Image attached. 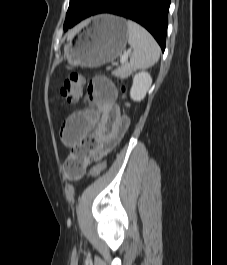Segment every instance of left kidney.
<instances>
[{
	"mask_svg": "<svg viewBox=\"0 0 227 265\" xmlns=\"http://www.w3.org/2000/svg\"><path fill=\"white\" fill-rule=\"evenodd\" d=\"M152 84V78L149 73L141 71L133 77V84L130 90V97L134 101H141L146 96Z\"/></svg>",
	"mask_w": 227,
	"mask_h": 265,
	"instance_id": "left-kidney-1",
	"label": "left kidney"
}]
</instances>
